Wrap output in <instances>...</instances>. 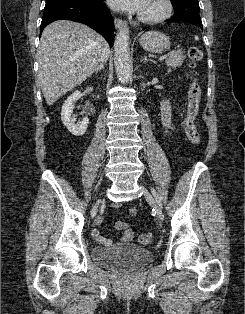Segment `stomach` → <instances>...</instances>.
Instances as JSON below:
<instances>
[{
  "label": "stomach",
  "mask_w": 245,
  "mask_h": 314,
  "mask_svg": "<svg viewBox=\"0 0 245 314\" xmlns=\"http://www.w3.org/2000/svg\"><path fill=\"white\" fill-rule=\"evenodd\" d=\"M141 47L148 52L163 53L170 48V39L159 31H148L139 38Z\"/></svg>",
  "instance_id": "1"
}]
</instances>
